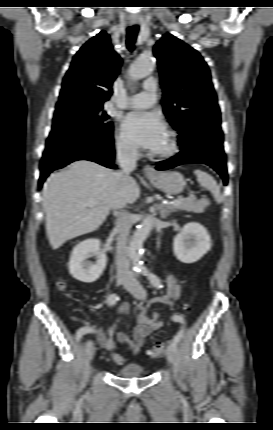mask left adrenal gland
I'll return each mask as SVG.
<instances>
[{
    "mask_svg": "<svg viewBox=\"0 0 273 430\" xmlns=\"http://www.w3.org/2000/svg\"><path fill=\"white\" fill-rule=\"evenodd\" d=\"M161 218H166L172 211L164 208L162 205L159 207Z\"/></svg>",
    "mask_w": 273,
    "mask_h": 430,
    "instance_id": "a2214340",
    "label": "left adrenal gland"
}]
</instances>
